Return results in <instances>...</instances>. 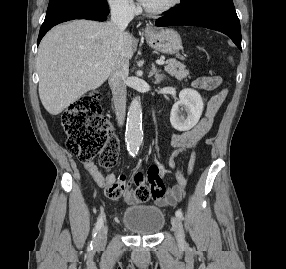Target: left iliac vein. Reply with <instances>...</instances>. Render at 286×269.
<instances>
[{"instance_id":"1","label":"left iliac vein","mask_w":286,"mask_h":269,"mask_svg":"<svg viewBox=\"0 0 286 269\" xmlns=\"http://www.w3.org/2000/svg\"><path fill=\"white\" fill-rule=\"evenodd\" d=\"M172 229L179 245L185 244V234L182 222L178 217H172L171 219Z\"/></svg>"}]
</instances>
